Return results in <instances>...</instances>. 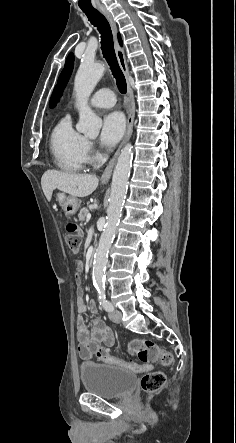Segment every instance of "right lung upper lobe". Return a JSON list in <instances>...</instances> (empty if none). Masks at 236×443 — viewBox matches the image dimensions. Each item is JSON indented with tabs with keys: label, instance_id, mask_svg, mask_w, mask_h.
Segmentation results:
<instances>
[{
	"label": "right lung upper lobe",
	"instance_id": "right-lung-upper-lobe-1",
	"mask_svg": "<svg viewBox=\"0 0 236 443\" xmlns=\"http://www.w3.org/2000/svg\"><path fill=\"white\" fill-rule=\"evenodd\" d=\"M118 39H119V43L122 44V41H121V38H120L119 34H118Z\"/></svg>",
	"mask_w": 236,
	"mask_h": 443
}]
</instances>
